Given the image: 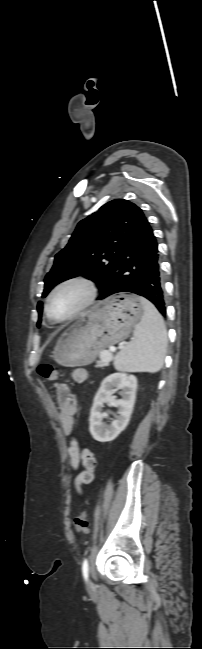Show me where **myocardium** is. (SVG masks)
I'll return each mask as SVG.
<instances>
[{
    "mask_svg": "<svg viewBox=\"0 0 202 649\" xmlns=\"http://www.w3.org/2000/svg\"><path fill=\"white\" fill-rule=\"evenodd\" d=\"M69 285L83 286L86 290V297L84 301L70 315L64 318H55L50 312L49 303L59 290ZM97 295H98L97 285L94 282V280H92L90 277L81 274L69 276L59 281L48 293L44 304L45 314L47 318L53 323H64V322L72 321L73 319L80 316L85 310H87L95 302Z\"/></svg>",
    "mask_w": 202,
    "mask_h": 649,
    "instance_id": "myocardium-1",
    "label": "myocardium"
}]
</instances>
